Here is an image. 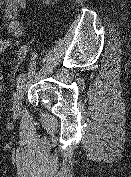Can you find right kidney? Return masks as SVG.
Wrapping results in <instances>:
<instances>
[{
    "instance_id": "obj_1",
    "label": "right kidney",
    "mask_w": 131,
    "mask_h": 177,
    "mask_svg": "<svg viewBox=\"0 0 131 177\" xmlns=\"http://www.w3.org/2000/svg\"><path fill=\"white\" fill-rule=\"evenodd\" d=\"M46 4H49L51 0H44Z\"/></svg>"
}]
</instances>
